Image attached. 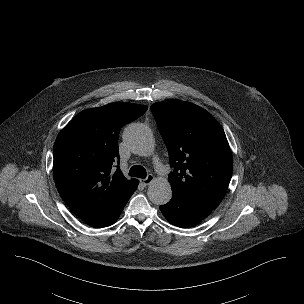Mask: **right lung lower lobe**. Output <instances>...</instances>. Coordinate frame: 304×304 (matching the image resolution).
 Segmentation results:
<instances>
[{
  "mask_svg": "<svg viewBox=\"0 0 304 304\" xmlns=\"http://www.w3.org/2000/svg\"><path fill=\"white\" fill-rule=\"evenodd\" d=\"M137 186L138 181H136V183L128 191H126L106 213H104L97 220L93 221L91 224L97 227H105L115 223L123 211L127 201L137 189Z\"/></svg>",
  "mask_w": 304,
  "mask_h": 304,
  "instance_id": "right-lung-lower-lobe-1",
  "label": "right lung lower lobe"
}]
</instances>
